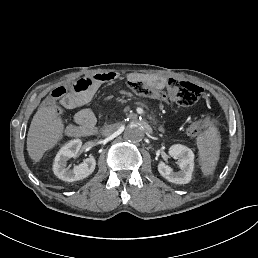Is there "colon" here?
Returning a JSON list of instances; mask_svg holds the SVG:
<instances>
[{"label": "colon", "mask_w": 258, "mask_h": 258, "mask_svg": "<svg viewBox=\"0 0 258 258\" xmlns=\"http://www.w3.org/2000/svg\"><path fill=\"white\" fill-rule=\"evenodd\" d=\"M130 84L131 89L138 95L154 98V99H170L181 106H191L195 104L202 95V88L199 86L173 78L166 80V90L162 91L154 85L146 84L143 81H133ZM74 84L70 86L72 89ZM68 87L59 86L51 92L52 101L45 103L46 106H52L53 100L62 98L67 93ZM212 111L207 109L203 113V117L192 122L188 127V134L197 136L206 126L208 119L211 117Z\"/></svg>", "instance_id": "obj_1"}]
</instances>
